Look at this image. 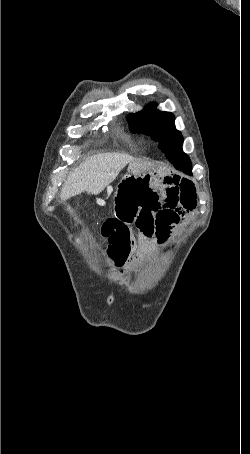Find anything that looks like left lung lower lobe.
<instances>
[{"mask_svg":"<svg viewBox=\"0 0 250 454\" xmlns=\"http://www.w3.org/2000/svg\"><path fill=\"white\" fill-rule=\"evenodd\" d=\"M168 160L178 170H181L189 175H192V165L189 157L186 154L175 155Z\"/></svg>","mask_w":250,"mask_h":454,"instance_id":"1","label":"left lung lower lobe"}]
</instances>
